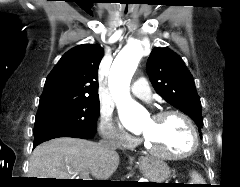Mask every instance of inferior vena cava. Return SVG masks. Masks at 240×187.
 <instances>
[{"label": "inferior vena cava", "mask_w": 240, "mask_h": 187, "mask_svg": "<svg viewBox=\"0 0 240 187\" xmlns=\"http://www.w3.org/2000/svg\"><path fill=\"white\" fill-rule=\"evenodd\" d=\"M99 145L104 149L105 152L114 153L118 148V144L113 137H105L100 141Z\"/></svg>", "instance_id": "obj_1"}]
</instances>
